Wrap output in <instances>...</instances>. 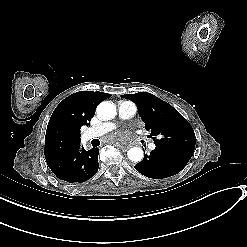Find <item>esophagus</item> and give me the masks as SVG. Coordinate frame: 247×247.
<instances>
[{
    "instance_id": "esophagus-1",
    "label": "esophagus",
    "mask_w": 247,
    "mask_h": 247,
    "mask_svg": "<svg viewBox=\"0 0 247 247\" xmlns=\"http://www.w3.org/2000/svg\"><path fill=\"white\" fill-rule=\"evenodd\" d=\"M131 146L130 145H120V148L122 149V150H127V149H129Z\"/></svg>"
}]
</instances>
